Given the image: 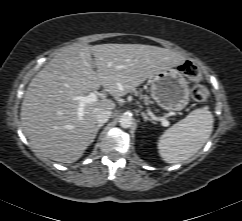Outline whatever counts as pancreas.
Segmentation results:
<instances>
[{"mask_svg":"<svg viewBox=\"0 0 242 221\" xmlns=\"http://www.w3.org/2000/svg\"><path fill=\"white\" fill-rule=\"evenodd\" d=\"M137 94V92H135ZM140 97L144 100L145 104H150L151 101L148 96L146 95H140Z\"/></svg>","mask_w":242,"mask_h":221,"instance_id":"obj_1","label":"pancreas"}]
</instances>
